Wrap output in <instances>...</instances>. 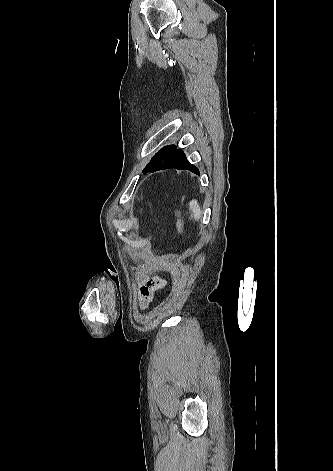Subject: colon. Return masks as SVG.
Here are the masks:
<instances>
[{"instance_id": "1", "label": "colon", "mask_w": 333, "mask_h": 471, "mask_svg": "<svg viewBox=\"0 0 333 471\" xmlns=\"http://www.w3.org/2000/svg\"><path fill=\"white\" fill-rule=\"evenodd\" d=\"M174 219L177 233L181 235L183 232V220L181 218L180 212L177 210L174 212Z\"/></svg>"}]
</instances>
